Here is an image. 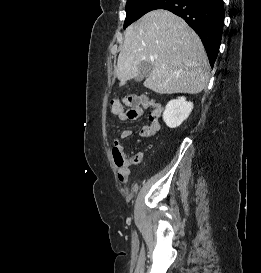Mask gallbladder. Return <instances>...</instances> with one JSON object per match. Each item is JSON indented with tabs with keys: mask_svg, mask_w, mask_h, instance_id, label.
Segmentation results:
<instances>
[{
	"mask_svg": "<svg viewBox=\"0 0 261 273\" xmlns=\"http://www.w3.org/2000/svg\"><path fill=\"white\" fill-rule=\"evenodd\" d=\"M153 70V65L151 63L142 62L138 67V74L134 78L135 81H142L144 78L148 77Z\"/></svg>",
	"mask_w": 261,
	"mask_h": 273,
	"instance_id": "bac80fb5",
	"label": "gallbladder"
}]
</instances>
